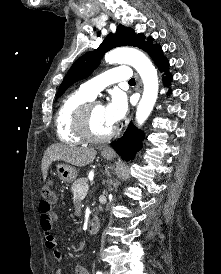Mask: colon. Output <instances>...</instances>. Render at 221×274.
Instances as JSON below:
<instances>
[{
	"label": "colon",
	"mask_w": 221,
	"mask_h": 274,
	"mask_svg": "<svg viewBox=\"0 0 221 274\" xmlns=\"http://www.w3.org/2000/svg\"><path fill=\"white\" fill-rule=\"evenodd\" d=\"M42 197L44 199V201H46L48 204H52L55 199H56V194L55 191L52 187L51 182L46 183L43 187H42Z\"/></svg>",
	"instance_id": "obj_1"
}]
</instances>
